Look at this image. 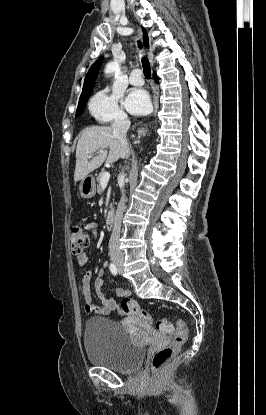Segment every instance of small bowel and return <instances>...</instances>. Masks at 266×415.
Segmentation results:
<instances>
[{
  "mask_svg": "<svg viewBox=\"0 0 266 415\" xmlns=\"http://www.w3.org/2000/svg\"><path fill=\"white\" fill-rule=\"evenodd\" d=\"M98 228L97 223L90 222L86 225V229L90 230L94 234L96 233ZM88 262V256L85 253H81L77 256V266L79 268L84 267ZM108 267L107 262H103L102 268L98 271L97 278L94 281V287L97 293L98 298L101 301V305L97 306L92 304V291H91V281H92V272L91 271H85L82 274V296L85 302V312L87 314H96V315H102L107 316L110 315L116 308L117 301L116 298H126L130 296V292L125 289H117L115 291V297H108L105 295V293L102 290L104 280L103 277L105 275V269Z\"/></svg>",
  "mask_w": 266,
  "mask_h": 415,
  "instance_id": "small-bowel-1",
  "label": "small bowel"
}]
</instances>
